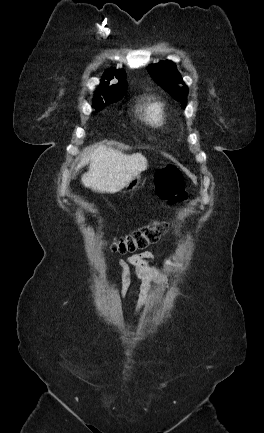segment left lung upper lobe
<instances>
[{"mask_svg": "<svg viewBox=\"0 0 264 433\" xmlns=\"http://www.w3.org/2000/svg\"><path fill=\"white\" fill-rule=\"evenodd\" d=\"M153 80L175 100L186 106L187 86L184 84L176 65L171 61H161L147 68ZM180 84H183L181 86Z\"/></svg>", "mask_w": 264, "mask_h": 433, "instance_id": "5c2ea615", "label": "left lung upper lobe"}]
</instances>
